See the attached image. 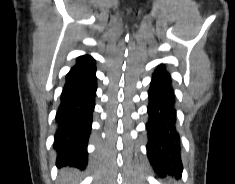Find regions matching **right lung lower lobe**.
Wrapping results in <instances>:
<instances>
[{"label":"right lung lower lobe","instance_id":"right-lung-lower-lobe-1","mask_svg":"<svg viewBox=\"0 0 235 184\" xmlns=\"http://www.w3.org/2000/svg\"><path fill=\"white\" fill-rule=\"evenodd\" d=\"M97 89L95 60L84 55L66 75L56 122L57 164L85 167Z\"/></svg>","mask_w":235,"mask_h":184}]
</instances>
